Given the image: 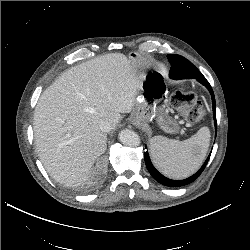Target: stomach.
<instances>
[{"mask_svg":"<svg viewBox=\"0 0 250 250\" xmlns=\"http://www.w3.org/2000/svg\"><path fill=\"white\" fill-rule=\"evenodd\" d=\"M134 54L131 59L135 60ZM166 86L163 79L155 77L153 74L145 75L142 89L136 96L133 112L130 121L136 127H145L148 122L155 118L160 127L166 132H177L178 125L169 116V111L165 105L157 106L162 99Z\"/></svg>","mask_w":250,"mask_h":250,"instance_id":"1","label":"stomach"}]
</instances>
